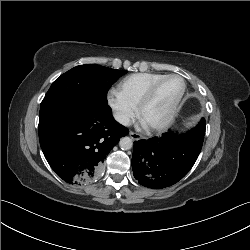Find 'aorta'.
Segmentation results:
<instances>
[{
  "instance_id": "762f6f07",
  "label": "aorta",
  "mask_w": 250,
  "mask_h": 250,
  "mask_svg": "<svg viewBox=\"0 0 250 250\" xmlns=\"http://www.w3.org/2000/svg\"><path fill=\"white\" fill-rule=\"evenodd\" d=\"M119 146L122 150H129L133 146L132 139L130 137H123L119 142Z\"/></svg>"
}]
</instances>
